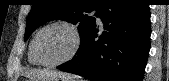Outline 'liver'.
<instances>
[{"mask_svg": "<svg viewBox=\"0 0 169 81\" xmlns=\"http://www.w3.org/2000/svg\"><path fill=\"white\" fill-rule=\"evenodd\" d=\"M32 81L39 79H49V78H64L71 79L69 75L58 71H50V70H30L25 73Z\"/></svg>", "mask_w": 169, "mask_h": 81, "instance_id": "obj_1", "label": "liver"}]
</instances>
